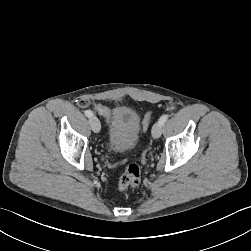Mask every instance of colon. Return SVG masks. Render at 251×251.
<instances>
[{"instance_id": "colon-1", "label": "colon", "mask_w": 251, "mask_h": 251, "mask_svg": "<svg viewBox=\"0 0 251 251\" xmlns=\"http://www.w3.org/2000/svg\"><path fill=\"white\" fill-rule=\"evenodd\" d=\"M92 108L96 111L97 115H101V117L104 119V122L107 125H110L113 122L114 116L109 111V108L102 104L100 101H96ZM152 117V112H148L142 123L143 130L146 131L149 127V123ZM141 181V168L136 163H130L126 171L121 175L118 183V189L120 191H125L130 187H134L138 185Z\"/></svg>"}]
</instances>
